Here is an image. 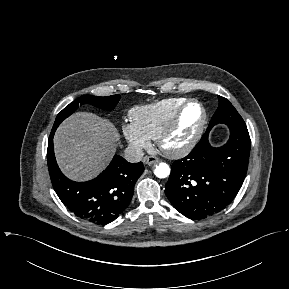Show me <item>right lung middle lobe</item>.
Returning a JSON list of instances; mask_svg holds the SVG:
<instances>
[{
  "mask_svg": "<svg viewBox=\"0 0 289 289\" xmlns=\"http://www.w3.org/2000/svg\"><path fill=\"white\" fill-rule=\"evenodd\" d=\"M120 100L119 95H112L107 97H97L92 95H83L66 106L56 117L52 129H57L59 124L68 116H70L76 109L83 104H91L104 110H113Z\"/></svg>",
  "mask_w": 289,
  "mask_h": 289,
  "instance_id": "1",
  "label": "right lung middle lobe"
}]
</instances>
